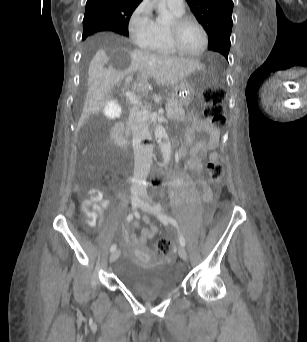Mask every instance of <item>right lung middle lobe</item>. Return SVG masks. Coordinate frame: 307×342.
I'll return each mask as SVG.
<instances>
[{"mask_svg": "<svg viewBox=\"0 0 307 342\" xmlns=\"http://www.w3.org/2000/svg\"><path fill=\"white\" fill-rule=\"evenodd\" d=\"M109 30V28L101 22V19L95 14H85L83 20V40L98 31ZM117 33L128 36V31L115 30Z\"/></svg>", "mask_w": 307, "mask_h": 342, "instance_id": "right-lung-middle-lobe-1", "label": "right lung middle lobe"}]
</instances>
